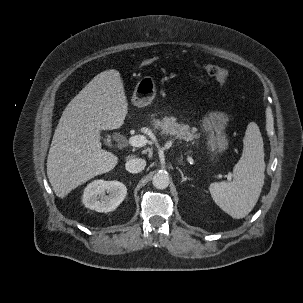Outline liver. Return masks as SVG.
I'll return each instance as SVG.
<instances>
[{
  "mask_svg": "<svg viewBox=\"0 0 303 303\" xmlns=\"http://www.w3.org/2000/svg\"><path fill=\"white\" fill-rule=\"evenodd\" d=\"M128 103L120 73L96 75L67 105L54 132L47 175L60 198L91 178L114 169L118 157L101 149V130L124 124Z\"/></svg>",
  "mask_w": 303,
  "mask_h": 303,
  "instance_id": "liver-1",
  "label": "liver"
}]
</instances>
